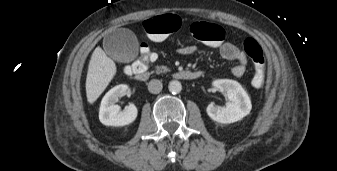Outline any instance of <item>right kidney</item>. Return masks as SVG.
Returning <instances> with one entry per match:
<instances>
[{"label":"right kidney","mask_w":337,"mask_h":171,"mask_svg":"<svg viewBox=\"0 0 337 171\" xmlns=\"http://www.w3.org/2000/svg\"><path fill=\"white\" fill-rule=\"evenodd\" d=\"M127 85H117L109 90L103 97L99 110V120L106 126H124L132 123L138 114L134 104L126 106L123 110L115 103L119 97L128 94Z\"/></svg>","instance_id":"obj_1"}]
</instances>
